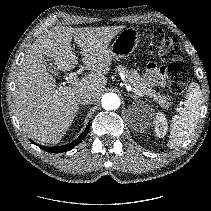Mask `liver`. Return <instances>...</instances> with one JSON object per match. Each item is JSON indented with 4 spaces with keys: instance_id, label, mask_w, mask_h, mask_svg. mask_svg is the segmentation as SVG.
<instances>
[{
    "instance_id": "1",
    "label": "liver",
    "mask_w": 211,
    "mask_h": 211,
    "mask_svg": "<svg viewBox=\"0 0 211 211\" xmlns=\"http://www.w3.org/2000/svg\"><path fill=\"white\" fill-rule=\"evenodd\" d=\"M123 26L72 28L53 27L38 37L25 55L16 76L13 93L15 115L25 133L42 143L60 142L77 112L78 96L91 92L95 99L107 84L111 69L109 42ZM80 48L90 74L69 85H56L44 59L49 57L58 71H70L78 64L71 41Z\"/></svg>"
}]
</instances>
